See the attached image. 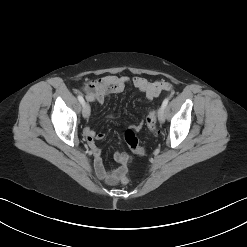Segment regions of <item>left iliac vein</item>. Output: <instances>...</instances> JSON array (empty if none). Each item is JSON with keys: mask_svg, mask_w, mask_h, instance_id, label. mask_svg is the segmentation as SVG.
I'll return each instance as SVG.
<instances>
[{"mask_svg": "<svg viewBox=\"0 0 247 247\" xmlns=\"http://www.w3.org/2000/svg\"><path fill=\"white\" fill-rule=\"evenodd\" d=\"M158 120L163 123L165 121V108L160 107L158 110Z\"/></svg>", "mask_w": 247, "mask_h": 247, "instance_id": "left-iliac-vein-1", "label": "left iliac vein"}]
</instances>
